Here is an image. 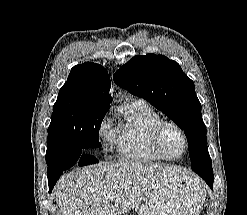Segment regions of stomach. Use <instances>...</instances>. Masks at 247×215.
Masks as SVG:
<instances>
[{
	"instance_id": "obj_1",
	"label": "stomach",
	"mask_w": 247,
	"mask_h": 215,
	"mask_svg": "<svg viewBox=\"0 0 247 215\" xmlns=\"http://www.w3.org/2000/svg\"><path fill=\"white\" fill-rule=\"evenodd\" d=\"M205 200L200 180L181 174L161 186L142 203L139 215H199Z\"/></svg>"
}]
</instances>
